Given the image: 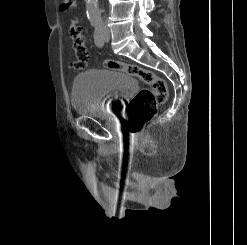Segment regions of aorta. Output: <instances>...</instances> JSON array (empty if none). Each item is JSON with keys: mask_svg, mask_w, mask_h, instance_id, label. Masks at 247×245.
<instances>
[{"mask_svg": "<svg viewBox=\"0 0 247 245\" xmlns=\"http://www.w3.org/2000/svg\"><path fill=\"white\" fill-rule=\"evenodd\" d=\"M86 13L91 24L98 25L101 23V11L98 6V0H85Z\"/></svg>", "mask_w": 247, "mask_h": 245, "instance_id": "762f6f07", "label": "aorta"}]
</instances>
